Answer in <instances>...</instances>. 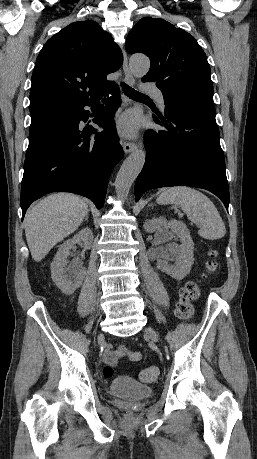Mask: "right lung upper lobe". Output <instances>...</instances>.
<instances>
[{
  "mask_svg": "<svg viewBox=\"0 0 257 459\" xmlns=\"http://www.w3.org/2000/svg\"><path fill=\"white\" fill-rule=\"evenodd\" d=\"M122 62L120 48L97 22L71 23L50 38L37 57L30 113L102 96L115 85L106 76Z\"/></svg>",
  "mask_w": 257,
  "mask_h": 459,
  "instance_id": "1",
  "label": "right lung upper lobe"
}]
</instances>
